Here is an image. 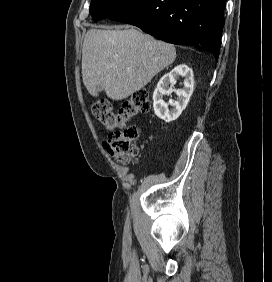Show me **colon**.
I'll return each mask as SVG.
<instances>
[{"mask_svg":"<svg viewBox=\"0 0 272 282\" xmlns=\"http://www.w3.org/2000/svg\"><path fill=\"white\" fill-rule=\"evenodd\" d=\"M150 107L146 91L134 92L117 111L109 101L103 100L92 104L94 117L112 130L104 140V146L121 164L127 165L137 161L140 129L134 124H129V121L138 114L147 113Z\"/></svg>","mask_w":272,"mask_h":282,"instance_id":"colon-1","label":"colon"}]
</instances>
